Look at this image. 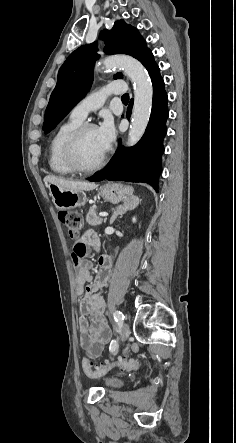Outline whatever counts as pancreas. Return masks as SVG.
Returning a JSON list of instances; mask_svg holds the SVG:
<instances>
[{
    "label": "pancreas",
    "instance_id": "1",
    "mask_svg": "<svg viewBox=\"0 0 236 443\" xmlns=\"http://www.w3.org/2000/svg\"><path fill=\"white\" fill-rule=\"evenodd\" d=\"M103 221L105 222L106 219L103 220L102 218L97 216L96 208L90 207V209L86 215V222L91 226H97V225L102 224Z\"/></svg>",
    "mask_w": 236,
    "mask_h": 443
}]
</instances>
